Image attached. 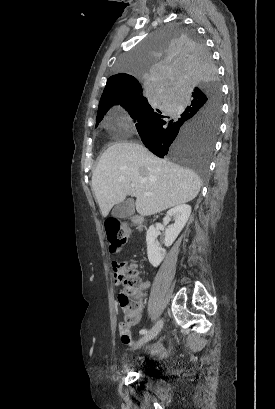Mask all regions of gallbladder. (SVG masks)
<instances>
[{
  "instance_id": "bac80fb5",
  "label": "gallbladder",
  "mask_w": 275,
  "mask_h": 409,
  "mask_svg": "<svg viewBox=\"0 0 275 409\" xmlns=\"http://www.w3.org/2000/svg\"><path fill=\"white\" fill-rule=\"evenodd\" d=\"M134 211L133 198H127L124 202H118V205H115L111 215L112 217H118V219H125V217L133 215Z\"/></svg>"
}]
</instances>
